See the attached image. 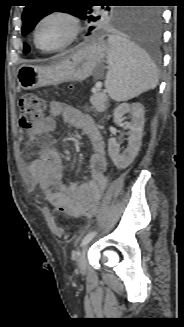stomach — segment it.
Masks as SVG:
<instances>
[{"label":"stomach","mask_w":184,"mask_h":327,"mask_svg":"<svg viewBox=\"0 0 184 327\" xmlns=\"http://www.w3.org/2000/svg\"><path fill=\"white\" fill-rule=\"evenodd\" d=\"M107 53V43L95 41L49 66L20 65L16 79L22 89L30 90L67 81H83L91 75L99 77Z\"/></svg>","instance_id":"1"}]
</instances>
